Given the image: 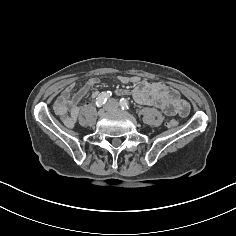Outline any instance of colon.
<instances>
[{
    "mask_svg": "<svg viewBox=\"0 0 236 236\" xmlns=\"http://www.w3.org/2000/svg\"><path fill=\"white\" fill-rule=\"evenodd\" d=\"M176 124H177V122L174 121V120H172V121L170 122V126H175Z\"/></svg>",
    "mask_w": 236,
    "mask_h": 236,
    "instance_id": "obj_1",
    "label": "colon"
}]
</instances>
